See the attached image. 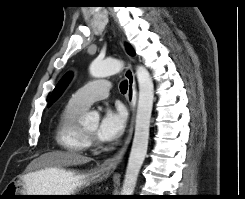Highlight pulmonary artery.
Returning a JSON list of instances; mask_svg holds the SVG:
<instances>
[{
	"mask_svg": "<svg viewBox=\"0 0 245 199\" xmlns=\"http://www.w3.org/2000/svg\"><path fill=\"white\" fill-rule=\"evenodd\" d=\"M110 83L105 80L92 81L78 89L70 98L69 103L86 110L93 102L109 96Z\"/></svg>",
	"mask_w": 245,
	"mask_h": 199,
	"instance_id": "pulmonary-artery-1",
	"label": "pulmonary artery"
}]
</instances>
